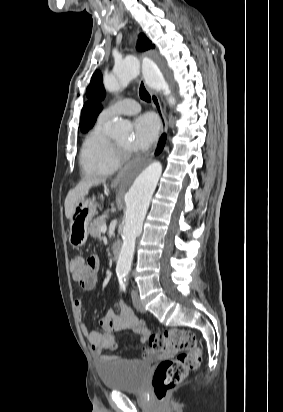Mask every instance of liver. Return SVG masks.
<instances>
[{
  "label": "liver",
  "mask_w": 283,
  "mask_h": 412,
  "mask_svg": "<svg viewBox=\"0 0 283 412\" xmlns=\"http://www.w3.org/2000/svg\"><path fill=\"white\" fill-rule=\"evenodd\" d=\"M106 179H90L86 178L83 179L78 183V185L70 190L65 199V216L67 219L71 220L74 208L78 204V202L86 195H88L90 188L93 185H99L100 183H104Z\"/></svg>",
  "instance_id": "liver-1"
}]
</instances>
